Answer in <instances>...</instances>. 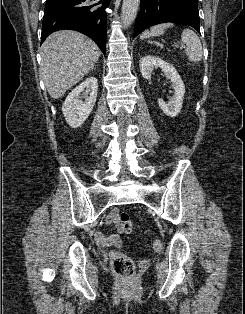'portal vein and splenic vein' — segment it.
<instances>
[{
	"mask_svg": "<svg viewBox=\"0 0 245 314\" xmlns=\"http://www.w3.org/2000/svg\"><path fill=\"white\" fill-rule=\"evenodd\" d=\"M186 48V46L185 45H181V49H185Z\"/></svg>",
	"mask_w": 245,
	"mask_h": 314,
	"instance_id": "portal-vein-and-splenic-vein-1",
	"label": "portal vein and splenic vein"
}]
</instances>
